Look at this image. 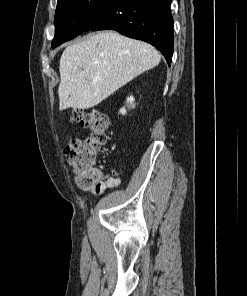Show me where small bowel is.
<instances>
[{
	"mask_svg": "<svg viewBox=\"0 0 247 296\" xmlns=\"http://www.w3.org/2000/svg\"><path fill=\"white\" fill-rule=\"evenodd\" d=\"M120 185V180L118 178H108L106 182L102 185L100 191L94 192V195H101L105 188H117Z\"/></svg>",
	"mask_w": 247,
	"mask_h": 296,
	"instance_id": "1",
	"label": "small bowel"
}]
</instances>
